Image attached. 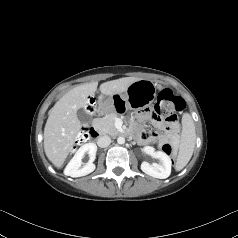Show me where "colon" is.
<instances>
[{"instance_id": "obj_1", "label": "colon", "mask_w": 238, "mask_h": 238, "mask_svg": "<svg viewBox=\"0 0 238 238\" xmlns=\"http://www.w3.org/2000/svg\"><path fill=\"white\" fill-rule=\"evenodd\" d=\"M185 108V101L182 97L176 95L170 89H163L157 95V101L152 110H157L165 121L172 126L177 123V114ZM90 134L87 129L83 130L77 139L79 145L85 143ZM162 151L167 155H172L174 145L170 142H165L161 146Z\"/></svg>"}]
</instances>
